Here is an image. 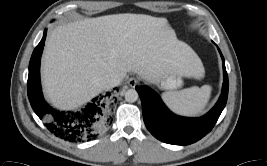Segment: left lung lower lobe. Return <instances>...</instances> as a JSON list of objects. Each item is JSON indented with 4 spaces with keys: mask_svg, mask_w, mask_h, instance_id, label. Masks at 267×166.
<instances>
[{
    "mask_svg": "<svg viewBox=\"0 0 267 166\" xmlns=\"http://www.w3.org/2000/svg\"><path fill=\"white\" fill-rule=\"evenodd\" d=\"M219 50V49H218ZM223 60L224 82L221 96L216 105L204 116L187 118L173 114L160 96L146 85L136 86L142 101L144 123L158 140L173 145H189L211 131L223 111L228 97V76Z\"/></svg>",
    "mask_w": 267,
    "mask_h": 166,
    "instance_id": "0a47b994",
    "label": "left lung lower lobe"
}]
</instances>
